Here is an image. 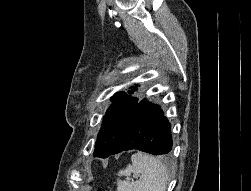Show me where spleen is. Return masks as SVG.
I'll return each mask as SVG.
<instances>
[{
    "mask_svg": "<svg viewBox=\"0 0 251 191\" xmlns=\"http://www.w3.org/2000/svg\"><path fill=\"white\" fill-rule=\"evenodd\" d=\"M131 161L117 173L127 175L126 179H117V191H166L169 173L160 159L137 151L131 155ZM131 173L140 179L129 181Z\"/></svg>",
    "mask_w": 251,
    "mask_h": 191,
    "instance_id": "spleen-1",
    "label": "spleen"
}]
</instances>
